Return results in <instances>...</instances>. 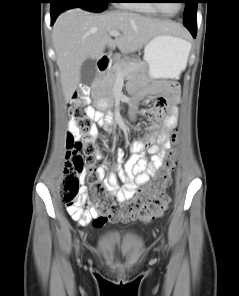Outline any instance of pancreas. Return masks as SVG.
Returning <instances> with one entry per match:
<instances>
[{"label": "pancreas", "mask_w": 239, "mask_h": 296, "mask_svg": "<svg viewBox=\"0 0 239 296\" xmlns=\"http://www.w3.org/2000/svg\"><path fill=\"white\" fill-rule=\"evenodd\" d=\"M118 68L123 71H127L125 76H132L136 78L146 77L145 63L129 56H125L122 59H116L114 65L101 75L92 87V94L94 96L103 98L108 103L112 102L114 98L113 89L118 78Z\"/></svg>", "instance_id": "pancreas-1"}]
</instances>
